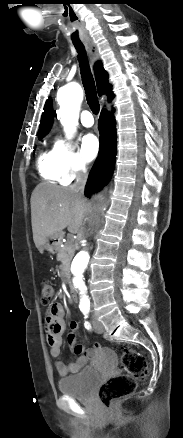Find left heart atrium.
<instances>
[{"label": "left heart atrium", "instance_id": "39dd6f15", "mask_svg": "<svg viewBox=\"0 0 183 438\" xmlns=\"http://www.w3.org/2000/svg\"><path fill=\"white\" fill-rule=\"evenodd\" d=\"M100 149L98 138L94 134H87L82 140V152L87 161L93 160Z\"/></svg>", "mask_w": 183, "mask_h": 438}]
</instances>
